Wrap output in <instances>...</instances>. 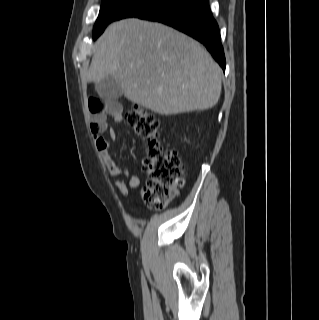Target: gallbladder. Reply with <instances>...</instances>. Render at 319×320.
Segmentation results:
<instances>
[{"label":"gallbladder","instance_id":"bac80fb5","mask_svg":"<svg viewBox=\"0 0 319 320\" xmlns=\"http://www.w3.org/2000/svg\"><path fill=\"white\" fill-rule=\"evenodd\" d=\"M95 89L99 96L106 101H113L122 96L121 86L112 76H108L96 83Z\"/></svg>","mask_w":319,"mask_h":320}]
</instances>
